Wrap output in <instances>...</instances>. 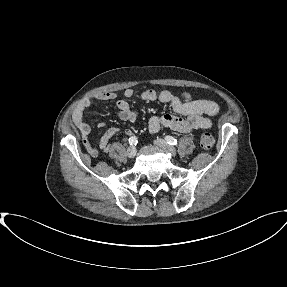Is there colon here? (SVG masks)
I'll return each mask as SVG.
<instances>
[{
	"label": "colon",
	"instance_id": "5ec220e1",
	"mask_svg": "<svg viewBox=\"0 0 287 287\" xmlns=\"http://www.w3.org/2000/svg\"><path fill=\"white\" fill-rule=\"evenodd\" d=\"M200 144L202 148L209 150L214 145V138L209 132H204L201 135Z\"/></svg>",
	"mask_w": 287,
	"mask_h": 287
}]
</instances>
